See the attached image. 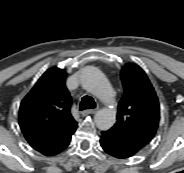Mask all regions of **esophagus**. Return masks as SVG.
I'll list each match as a JSON object with an SVG mask.
<instances>
[{"label": "esophagus", "mask_w": 184, "mask_h": 173, "mask_svg": "<svg viewBox=\"0 0 184 173\" xmlns=\"http://www.w3.org/2000/svg\"><path fill=\"white\" fill-rule=\"evenodd\" d=\"M98 111V109H86L81 112L82 116H87L89 114H95Z\"/></svg>", "instance_id": "esophagus-1"}]
</instances>
